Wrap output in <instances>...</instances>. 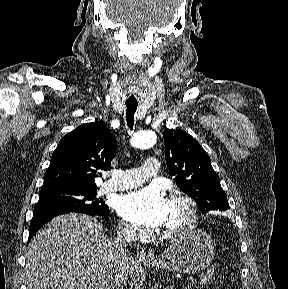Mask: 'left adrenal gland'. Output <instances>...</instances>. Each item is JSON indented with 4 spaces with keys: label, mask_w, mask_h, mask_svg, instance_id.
<instances>
[{
    "label": "left adrenal gland",
    "mask_w": 288,
    "mask_h": 289,
    "mask_svg": "<svg viewBox=\"0 0 288 289\" xmlns=\"http://www.w3.org/2000/svg\"><path fill=\"white\" fill-rule=\"evenodd\" d=\"M155 288H157V289H162V288H161V285H160L159 283H156V284H155ZM163 289H169V287H166V288H163Z\"/></svg>",
    "instance_id": "left-adrenal-gland-1"
}]
</instances>
